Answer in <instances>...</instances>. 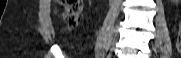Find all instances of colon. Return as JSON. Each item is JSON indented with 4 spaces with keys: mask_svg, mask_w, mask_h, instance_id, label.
I'll return each instance as SVG.
<instances>
[{
    "mask_svg": "<svg viewBox=\"0 0 181 58\" xmlns=\"http://www.w3.org/2000/svg\"><path fill=\"white\" fill-rule=\"evenodd\" d=\"M58 3L62 7V16L68 30H72L78 25L79 16L82 11V0H60ZM177 47L181 52V22L179 25Z\"/></svg>",
    "mask_w": 181,
    "mask_h": 58,
    "instance_id": "1",
    "label": "colon"
}]
</instances>
